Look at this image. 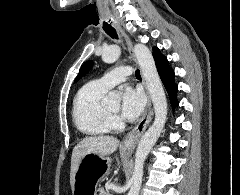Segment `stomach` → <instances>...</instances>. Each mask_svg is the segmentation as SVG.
<instances>
[{"mask_svg": "<svg viewBox=\"0 0 240 195\" xmlns=\"http://www.w3.org/2000/svg\"><path fill=\"white\" fill-rule=\"evenodd\" d=\"M133 147L135 145L131 147L121 145V151L127 155ZM111 161V157L106 155L100 157L96 153H86L75 173L72 195H97L98 183L104 175L109 173Z\"/></svg>", "mask_w": 240, "mask_h": 195, "instance_id": "0dacf381", "label": "stomach"}]
</instances>
